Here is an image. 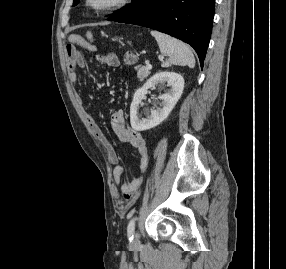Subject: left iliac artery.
Returning a JSON list of instances; mask_svg holds the SVG:
<instances>
[{
  "label": "left iliac artery",
  "mask_w": 286,
  "mask_h": 269,
  "mask_svg": "<svg viewBox=\"0 0 286 269\" xmlns=\"http://www.w3.org/2000/svg\"><path fill=\"white\" fill-rule=\"evenodd\" d=\"M135 221L136 217L132 218L127 226V233L129 237V241L131 242L133 240V233H134V228H135Z\"/></svg>",
  "instance_id": "1"
}]
</instances>
